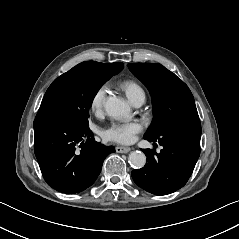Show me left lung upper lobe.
<instances>
[{"instance_id": "1", "label": "left lung upper lobe", "mask_w": 239, "mask_h": 239, "mask_svg": "<svg viewBox=\"0 0 239 239\" xmlns=\"http://www.w3.org/2000/svg\"><path fill=\"white\" fill-rule=\"evenodd\" d=\"M129 69L151 93L154 118L145 137L158 138L169 125L199 119L193 95L174 73L157 63H131Z\"/></svg>"}]
</instances>
